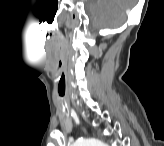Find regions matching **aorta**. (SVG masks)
Returning a JSON list of instances; mask_svg holds the SVG:
<instances>
[{
    "label": "aorta",
    "instance_id": "1",
    "mask_svg": "<svg viewBox=\"0 0 164 146\" xmlns=\"http://www.w3.org/2000/svg\"><path fill=\"white\" fill-rule=\"evenodd\" d=\"M78 146H103L104 143L98 139H85L78 143Z\"/></svg>",
    "mask_w": 164,
    "mask_h": 146
}]
</instances>
